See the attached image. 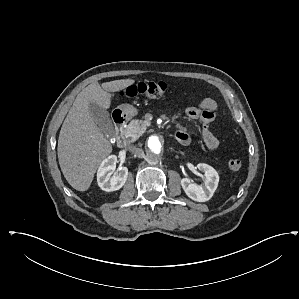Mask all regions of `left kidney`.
<instances>
[{
  "label": "left kidney",
  "mask_w": 299,
  "mask_h": 299,
  "mask_svg": "<svg viewBox=\"0 0 299 299\" xmlns=\"http://www.w3.org/2000/svg\"><path fill=\"white\" fill-rule=\"evenodd\" d=\"M197 169L204 172L205 183L204 185H198L192 183L190 179L183 178L181 180V186L186 195L197 202H206L213 196L219 183V175L217 171L208 164L199 163Z\"/></svg>",
  "instance_id": "1"
}]
</instances>
